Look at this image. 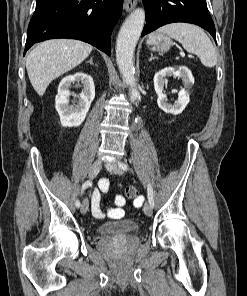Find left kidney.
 <instances>
[{"mask_svg": "<svg viewBox=\"0 0 247 296\" xmlns=\"http://www.w3.org/2000/svg\"><path fill=\"white\" fill-rule=\"evenodd\" d=\"M181 78L184 83V88L178 93V99L174 104L168 103L167 96L163 94L164 84L167 82V77ZM194 84V77L191 71L181 66L177 69L174 67H167L157 72L154 76V88L158 95L157 104L165 113L178 115L182 113L187 104L189 103V89Z\"/></svg>", "mask_w": 247, "mask_h": 296, "instance_id": "left-kidney-1", "label": "left kidney"}]
</instances>
